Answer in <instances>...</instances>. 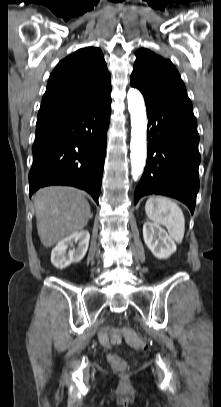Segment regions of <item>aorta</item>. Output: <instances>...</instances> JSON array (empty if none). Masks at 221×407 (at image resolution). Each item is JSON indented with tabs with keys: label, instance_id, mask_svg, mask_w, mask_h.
Listing matches in <instances>:
<instances>
[{
	"label": "aorta",
	"instance_id": "762f6f07",
	"mask_svg": "<svg viewBox=\"0 0 221 407\" xmlns=\"http://www.w3.org/2000/svg\"><path fill=\"white\" fill-rule=\"evenodd\" d=\"M128 110L131 115V175L136 181L143 173L146 161V108L142 94L134 88L127 93Z\"/></svg>",
	"mask_w": 221,
	"mask_h": 407
}]
</instances>
